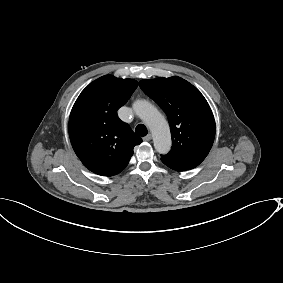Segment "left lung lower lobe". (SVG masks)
<instances>
[{"mask_svg":"<svg viewBox=\"0 0 283 283\" xmlns=\"http://www.w3.org/2000/svg\"><path fill=\"white\" fill-rule=\"evenodd\" d=\"M161 160H162V162H163L166 166L170 167V168L173 169V170H176V171H185V170H187V169H185V168H182V167H179V166L170 164V163H168V162H165L162 158H161Z\"/></svg>","mask_w":283,"mask_h":283,"instance_id":"1","label":"left lung lower lobe"}]
</instances>
